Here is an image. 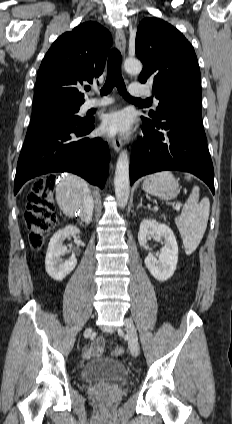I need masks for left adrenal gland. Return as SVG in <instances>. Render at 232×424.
I'll return each instance as SVG.
<instances>
[{"label": "left adrenal gland", "mask_w": 232, "mask_h": 424, "mask_svg": "<svg viewBox=\"0 0 232 424\" xmlns=\"http://www.w3.org/2000/svg\"><path fill=\"white\" fill-rule=\"evenodd\" d=\"M142 197L140 198V203L138 204V206H137V209H139L140 207H143V208H145V206L142 204Z\"/></svg>", "instance_id": "obj_1"}]
</instances>
